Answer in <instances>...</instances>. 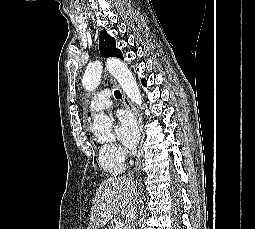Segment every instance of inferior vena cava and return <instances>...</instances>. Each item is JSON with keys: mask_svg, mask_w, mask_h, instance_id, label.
Returning a JSON list of instances; mask_svg holds the SVG:
<instances>
[{"mask_svg": "<svg viewBox=\"0 0 255 229\" xmlns=\"http://www.w3.org/2000/svg\"><path fill=\"white\" fill-rule=\"evenodd\" d=\"M128 178L132 179L131 173L129 172ZM137 214V205H134L130 208L128 214L126 215L125 229H135V219Z\"/></svg>", "mask_w": 255, "mask_h": 229, "instance_id": "1", "label": "inferior vena cava"}]
</instances>
